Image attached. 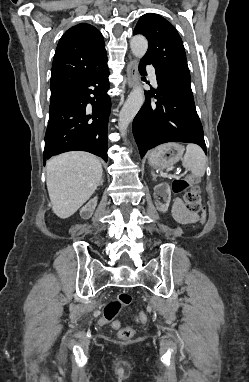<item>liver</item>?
<instances>
[{
	"mask_svg": "<svg viewBox=\"0 0 249 382\" xmlns=\"http://www.w3.org/2000/svg\"><path fill=\"white\" fill-rule=\"evenodd\" d=\"M103 169L90 153L72 151L46 164V184L53 212L61 219L72 216L94 193Z\"/></svg>",
	"mask_w": 249,
	"mask_h": 382,
	"instance_id": "6515ba94",
	"label": "liver"
}]
</instances>
